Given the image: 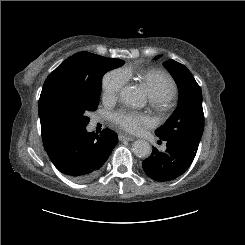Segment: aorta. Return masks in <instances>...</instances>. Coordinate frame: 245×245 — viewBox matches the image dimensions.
Segmentation results:
<instances>
[{"label":"aorta","mask_w":245,"mask_h":245,"mask_svg":"<svg viewBox=\"0 0 245 245\" xmlns=\"http://www.w3.org/2000/svg\"><path fill=\"white\" fill-rule=\"evenodd\" d=\"M121 100L128 106L142 108L145 105L143 91L135 86H126L121 90ZM133 153L138 157H148L151 154V146L146 140H136L132 144Z\"/></svg>","instance_id":"obj_1"}]
</instances>
